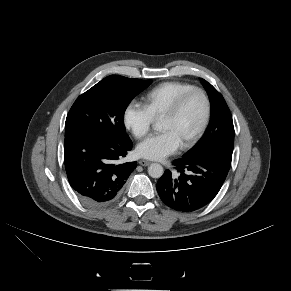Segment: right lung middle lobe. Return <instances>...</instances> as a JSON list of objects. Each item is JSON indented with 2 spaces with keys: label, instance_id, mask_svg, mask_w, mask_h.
<instances>
[{
  "label": "right lung middle lobe",
  "instance_id": "right-lung-middle-lobe-1",
  "mask_svg": "<svg viewBox=\"0 0 291 291\" xmlns=\"http://www.w3.org/2000/svg\"><path fill=\"white\" fill-rule=\"evenodd\" d=\"M151 82L119 75L104 78L74 102L66 118L65 137L77 133L127 135L124 112Z\"/></svg>",
  "mask_w": 291,
  "mask_h": 291
}]
</instances>
